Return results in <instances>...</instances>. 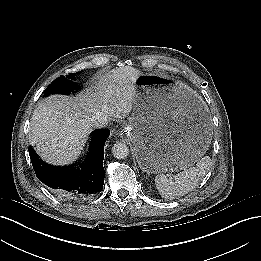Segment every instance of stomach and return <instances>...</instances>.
Segmentation results:
<instances>
[{
  "mask_svg": "<svg viewBox=\"0 0 261 261\" xmlns=\"http://www.w3.org/2000/svg\"><path fill=\"white\" fill-rule=\"evenodd\" d=\"M194 100L192 92L169 78L139 76L125 134L143 171L185 170L207 151L210 133L195 122L191 110Z\"/></svg>",
  "mask_w": 261,
  "mask_h": 261,
  "instance_id": "1",
  "label": "stomach"
}]
</instances>
